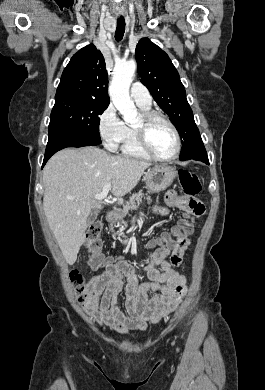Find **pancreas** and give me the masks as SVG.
Masks as SVG:
<instances>
[{"instance_id":"pancreas-1","label":"pancreas","mask_w":265,"mask_h":390,"mask_svg":"<svg viewBox=\"0 0 265 390\" xmlns=\"http://www.w3.org/2000/svg\"><path fill=\"white\" fill-rule=\"evenodd\" d=\"M142 197H143L142 193L132 195L130 197L129 204L127 206H125L122 210H119L117 212L118 216H120L122 218L120 223H122V224L125 223V221L123 220V217H125L128 214L129 210L135 209L136 206H138L141 203ZM112 224H115V222H113ZM111 230H112V228H111ZM116 234L121 235V232H116L115 235Z\"/></svg>"}]
</instances>
